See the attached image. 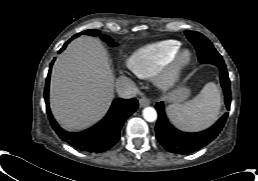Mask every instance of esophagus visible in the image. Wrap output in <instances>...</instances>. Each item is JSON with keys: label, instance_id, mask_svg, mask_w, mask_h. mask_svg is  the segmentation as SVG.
Listing matches in <instances>:
<instances>
[{"label": "esophagus", "instance_id": "obj_1", "mask_svg": "<svg viewBox=\"0 0 258 181\" xmlns=\"http://www.w3.org/2000/svg\"><path fill=\"white\" fill-rule=\"evenodd\" d=\"M139 104H140V107L148 106L150 104V100L147 97H142L139 100Z\"/></svg>", "mask_w": 258, "mask_h": 181}]
</instances>
